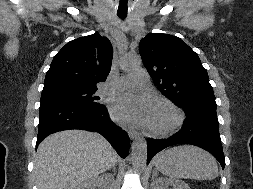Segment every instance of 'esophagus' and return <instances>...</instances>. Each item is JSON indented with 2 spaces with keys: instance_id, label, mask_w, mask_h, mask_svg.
Wrapping results in <instances>:
<instances>
[{
  "instance_id": "34e87169",
  "label": "esophagus",
  "mask_w": 253,
  "mask_h": 189,
  "mask_svg": "<svg viewBox=\"0 0 253 189\" xmlns=\"http://www.w3.org/2000/svg\"><path fill=\"white\" fill-rule=\"evenodd\" d=\"M128 135H129L130 139H134L138 135V133L134 130H129Z\"/></svg>"
}]
</instances>
